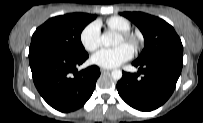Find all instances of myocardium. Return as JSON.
<instances>
[{"instance_id":"1","label":"myocardium","mask_w":203,"mask_h":123,"mask_svg":"<svg viewBox=\"0 0 203 123\" xmlns=\"http://www.w3.org/2000/svg\"><path fill=\"white\" fill-rule=\"evenodd\" d=\"M125 43L129 44L132 50H137L140 46V38L131 31L119 32Z\"/></svg>"}]
</instances>
